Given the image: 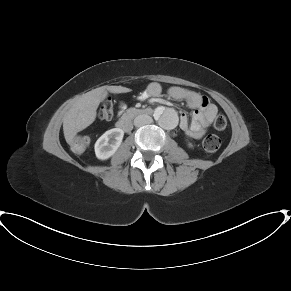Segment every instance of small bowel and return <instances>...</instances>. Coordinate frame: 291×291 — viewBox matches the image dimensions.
I'll return each mask as SVG.
<instances>
[{"label":"small bowel","mask_w":291,"mask_h":291,"mask_svg":"<svg viewBox=\"0 0 291 291\" xmlns=\"http://www.w3.org/2000/svg\"><path fill=\"white\" fill-rule=\"evenodd\" d=\"M161 93V87L158 83H151L146 91L150 98H156ZM168 94L171 98L185 101L193 109L191 120L186 115H181L180 127L194 139H200L207 132L208 126L215 118L218 108L214 103L199 92L184 89L181 87H172Z\"/></svg>","instance_id":"1"}]
</instances>
